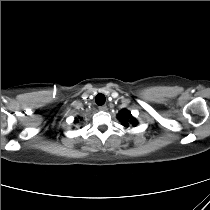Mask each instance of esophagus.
Returning a JSON list of instances; mask_svg holds the SVG:
<instances>
[{
  "label": "esophagus",
  "mask_w": 210,
  "mask_h": 210,
  "mask_svg": "<svg viewBox=\"0 0 210 210\" xmlns=\"http://www.w3.org/2000/svg\"><path fill=\"white\" fill-rule=\"evenodd\" d=\"M107 109V106L106 105H102L99 107V110L101 111H105Z\"/></svg>",
  "instance_id": "34e87169"
}]
</instances>
